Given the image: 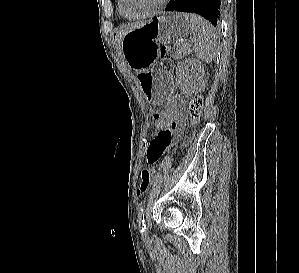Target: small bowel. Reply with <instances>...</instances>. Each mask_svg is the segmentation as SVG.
<instances>
[{
    "instance_id": "1",
    "label": "small bowel",
    "mask_w": 299,
    "mask_h": 273,
    "mask_svg": "<svg viewBox=\"0 0 299 273\" xmlns=\"http://www.w3.org/2000/svg\"><path fill=\"white\" fill-rule=\"evenodd\" d=\"M171 106L175 110L172 122L166 129L154 133L150 142L145 146L146 159L150 165L155 164L161 158L173 139L182 135L187 124L184 100L178 96H173Z\"/></svg>"
}]
</instances>
